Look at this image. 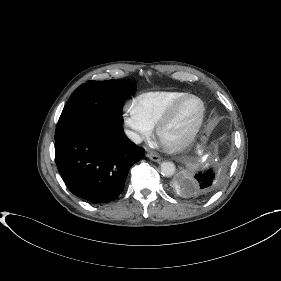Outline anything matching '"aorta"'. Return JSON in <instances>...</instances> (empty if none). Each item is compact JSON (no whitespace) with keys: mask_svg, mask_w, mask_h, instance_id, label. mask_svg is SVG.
I'll return each mask as SVG.
<instances>
[{"mask_svg":"<svg viewBox=\"0 0 281 281\" xmlns=\"http://www.w3.org/2000/svg\"><path fill=\"white\" fill-rule=\"evenodd\" d=\"M160 170L163 176L171 177L175 173V165L172 162L164 161L160 164Z\"/></svg>","mask_w":281,"mask_h":281,"instance_id":"obj_1","label":"aorta"}]
</instances>
